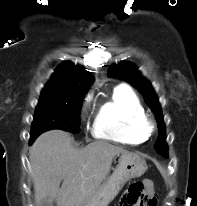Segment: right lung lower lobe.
I'll return each mask as SVG.
<instances>
[{
    "label": "right lung lower lobe",
    "instance_id": "obj_1",
    "mask_svg": "<svg viewBox=\"0 0 197 206\" xmlns=\"http://www.w3.org/2000/svg\"><path fill=\"white\" fill-rule=\"evenodd\" d=\"M34 140H35V139H30V144H32Z\"/></svg>",
    "mask_w": 197,
    "mask_h": 206
}]
</instances>
